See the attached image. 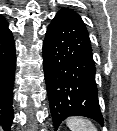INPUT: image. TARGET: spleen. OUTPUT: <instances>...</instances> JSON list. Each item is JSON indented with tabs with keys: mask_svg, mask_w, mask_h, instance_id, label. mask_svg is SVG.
<instances>
[{
	"mask_svg": "<svg viewBox=\"0 0 117 131\" xmlns=\"http://www.w3.org/2000/svg\"><path fill=\"white\" fill-rule=\"evenodd\" d=\"M66 124L71 131H97L90 120L82 117H70Z\"/></svg>",
	"mask_w": 117,
	"mask_h": 131,
	"instance_id": "obj_1",
	"label": "spleen"
}]
</instances>
